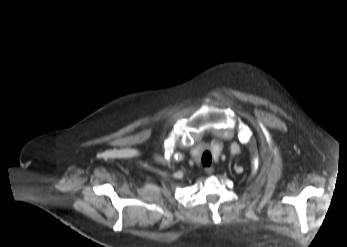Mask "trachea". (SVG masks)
Instances as JSON below:
<instances>
[{
	"label": "trachea",
	"mask_w": 347,
	"mask_h": 247,
	"mask_svg": "<svg viewBox=\"0 0 347 247\" xmlns=\"http://www.w3.org/2000/svg\"><path fill=\"white\" fill-rule=\"evenodd\" d=\"M212 162L211 155L209 152H204L202 155V164L204 166H210Z\"/></svg>",
	"instance_id": "1"
}]
</instances>
